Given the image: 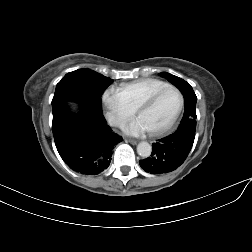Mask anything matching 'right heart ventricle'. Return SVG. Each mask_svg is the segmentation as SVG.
Instances as JSON below:
<instances>
[{
    "label": "right heart ventricle",
    "mask_w": 252,
    "mask_h": 252,
    "mask_svg": "<svg viewBox=\"0 0 252 252\" xmlns=\"http://www.w3.org/2000/svg\"><path fill=\"white\" fill-rule=\"evenodd\" d=\"M168 86L170 85L164 81L148 78L123 84L118 90L126 97L130 105L136 109L150 95Z\"/></svg>",
    "instance_id": "e07e8e85"
}]
</instances>
